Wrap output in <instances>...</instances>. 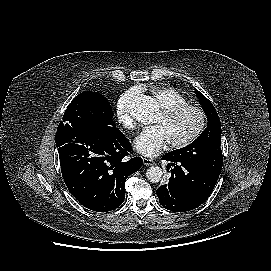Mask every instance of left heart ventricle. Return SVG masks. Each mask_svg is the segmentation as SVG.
<instances>
[{"label": "left heart ventricle", "mask_w": 271, "mask_h": 271, "mask_svg": "<svg viewBox=\"0 0 271 271\" xmlns=\"http://www.w3.org/2000/svg\"><path fill=\"white\" fill-rule=\"evenodd\" d=\"M155 124L161 125L171 141H178L191 134L198 125V117L194 112H184L174 118L165 119L159 113Z\"/></svg>", "instance_id": "1"}]
</instances>
